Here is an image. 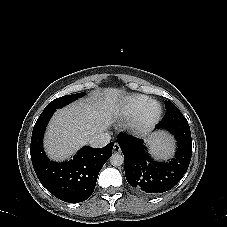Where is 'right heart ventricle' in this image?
I'll return each mask as SVG.
<instances>
[{
	"label": "right heart ventricle",
	"instance_id": "right-heart-ventricle-1",
	"mask_svg": "<svg viewBox=\"0 0 227 227\" xmlns=\"http://www.w3.org/2000/svg\"><path fill=\"white\" fill-rule=\"evenodd\" d=\"M149 101V98L143 95L127 97L118 105V113L124 118L135 117L143 110Z\"/></svg>",
	"mask_w": 227,
	"mask_h": 227
}]
</instances>
